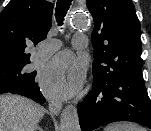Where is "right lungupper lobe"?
<instances>
[{
    "mask_svg": "<svg viewBox=\"0 0 151 131\" xmlns=\"http://www.w3.org/2000/svg\"><path fill=\"white\" fill-rule=\"evenodd\" d=\"M52 12L46 0H11L0 14V57L29 59L25 49L46 38Z\"/></svg>",
    "mask_w": 151,
    "mask_h": 131,
    "instance_id": "1",
    "label": "right lung upper lobe"
}]
</instances>
